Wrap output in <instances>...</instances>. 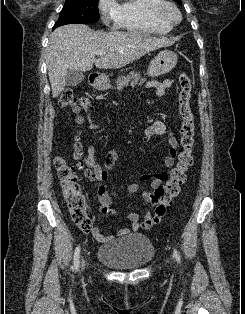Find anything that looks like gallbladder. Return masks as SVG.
<instances>
[{
  "label": "gallbladder",
  "instance_id": "obj_1",
  "mask_svg": "<svg viewBox=\"0 0 245 314\" xmlns=\"http://www.w3.org/2000/svg\"><path fill=\"white\" fill-rule=\"evenodd\" d=\"M84 77L85 76L82 71L68 70L65 76L66 85L69 87L77 86L84 80Z\"/></svg>",
  "mask_w": 245,
  "mask_h": 314
}]
</instances>
